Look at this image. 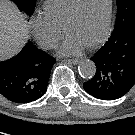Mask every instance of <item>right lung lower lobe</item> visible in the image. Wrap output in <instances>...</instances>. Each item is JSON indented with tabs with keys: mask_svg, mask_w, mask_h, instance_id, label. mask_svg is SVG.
<instances>
[{
	"mask_svg": "<svg viewBox=\"0 0 135 135\" xmlns=\"http://www.w3.org/2000/svg\"><path fill=\"white\" fill-rule=\"evenodd\" d=\"M56 60L28 43L15 57L0 62V94L15 103H29L46 92Z\"/></svg>",
	"mask_w": 135,
	"mask_h": 135,
	"instance_id": "1",
	"label": "right lung lower lobe"
}]
</instances>
